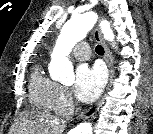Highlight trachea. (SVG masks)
Instances as JSON below:
<instances>
[{
	"label": "trachea",
	"instance_id": "trachea-1",
	"mask_svg": "<svg viewBox=\"0 0 153 134\" xmlns=\"http://www.w3.org/2000/svg\"><path fill=\"white\" fill-rule=\"evenodd\" d=\"M95 51L99 55H103L104 54V48L101 45H97L96 48H95Z\"/></svg>",
	"mask_w": 153,
	"mask_h": 134
}]
</instances>
